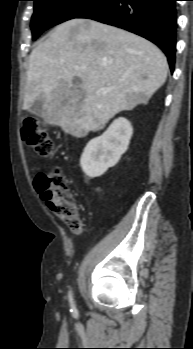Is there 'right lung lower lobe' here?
I'll use <instances>...</instances> for the list:
<instances>
[{
    "instance_id": "98d812e1",
    "label": "right lung lower lobe",
    "mask_w": 193,
    "mask_h": 349,
    "mask_svg": "<svg viewBox=\"0 0 193 349\" xmlns=\"http://www.w3.org/2000/svg\"><path fill=\"white\" fill-rule=\"evenodd\" d=\"M177 0H98L76 18L123 28L158 45L174 71Z\"/></svg>"
}]
</instances>
